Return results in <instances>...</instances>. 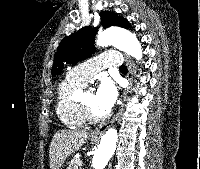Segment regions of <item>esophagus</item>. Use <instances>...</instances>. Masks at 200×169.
<instances>
[{"label": "esophagus", "mask_w": 200, "mask_h": 169, "mask_svg": "<svg viewBox=\"0 0 200 169\" xmlns=\"http://www.w3.org/2000/svg\"><path fill=\"white\" fill-rule=\"evenodd\" d=\"M126 60V64L128 67V73H127V78L129 80V87L125 90L124 95H123V103L120 107V109L118 110V112L116 113V115L106 124L101 125L100 127L96 128L95 130H93L91 132V136L92 137H98L104 134V132L118 119V117L120 116V114L123 111L124 108V103L128 97V94L130 92V89L133 85V72H134V68H133V64L130 60V58H128V56L125 57Z\"/></svg>", "instance_id": "esophagus-1"}]
</instances>
